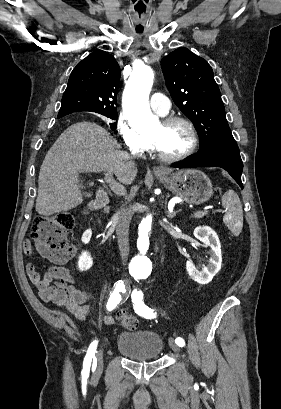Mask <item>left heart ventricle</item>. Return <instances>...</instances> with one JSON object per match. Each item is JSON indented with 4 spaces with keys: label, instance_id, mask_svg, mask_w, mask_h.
<instances>
[{
    "label": "left heart ventricle",
    "instance_id": "b2bd125f",
    "mask_svg": "<svg viewBox=\"0 0 281 409\" xmlns=\"http://www.w3.org/2000/svg\"><path fill=\"white\" fill-rule=\"evenodd\" d=\"M146 137L151 139L156 147L166 155L182 153L190 141L188 130L181 123L163 126L159 122L146 134Z\"/></svg>",
    "mask_w": 281,
    "mask_h": 409
}]
</instances>
